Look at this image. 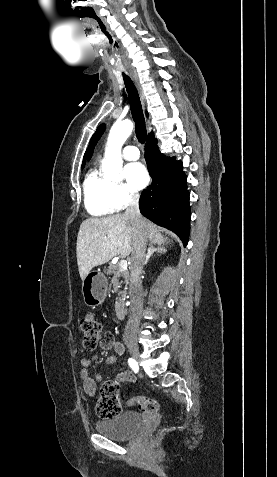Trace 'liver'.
Wrapping results in <instances>:
<instances>
[{
  "instance_id": "1",
  "label": "liver",
  "mask_w": 277,
  "mask_h": 477,
  "mask_svg": "<svg viewBox=\"0 0 277 477\" xmlns=\"http://www.w3.org/2000/svg\"><path fill=\"white\" fill-rule=\"evenodd\" d=\"M144 225L151 242H167V238L162 236L160 228L155 224L144 220ZM133 243L131 221L124 214L84 220L80 225L76 244L81 279L94 267L105 264L117 255H130Z\"/></svg>"
}]
</instances>
